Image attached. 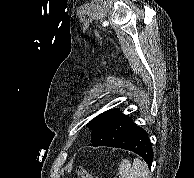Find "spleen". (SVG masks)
<instances>
[{
	"label": "spleen",
	"mask_w": 194,
	"mask_h": 178,
	"mask_svg": "<svg viewBox=\"0 0 194 178\" xmlns=\"http://www.w3.org/2000/svg\"><path fill=\"white\" fill-rule=\"evenodd\" d=\"M118 170L119 178H149L148 166L139 158H135L132 165L129 160L123 159Z\"/></svg>",
	"instance_id": "3e777b00"
}]
</instances>
